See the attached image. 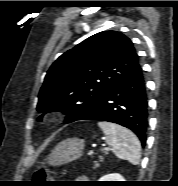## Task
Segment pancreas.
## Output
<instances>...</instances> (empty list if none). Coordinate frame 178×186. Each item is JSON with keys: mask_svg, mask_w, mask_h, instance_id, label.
Listing matches in <instances>:
<instances>
[{"mask_svg": "<svg viewBox=\"0 0 178 186\" xmlns=\"http://www.w3.org/2000/svg\"><path fill=\"white\" fill-rule=\"evenodd\" d=\"M100 160H102V158ZM98 166H99V163L98 162H95V165H94L93 168H97Z\"/></svg>", "mask_w": 178, "mask_h": 186, "instance_id": "pancreas-1", "label": "pancreas"}]
</instances>
